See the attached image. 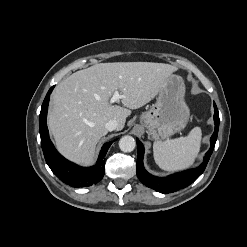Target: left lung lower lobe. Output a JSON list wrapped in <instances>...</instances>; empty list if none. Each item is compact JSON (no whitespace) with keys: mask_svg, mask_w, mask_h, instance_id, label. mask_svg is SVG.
<instances>
[{"mask_svg":"<svg viewBox=\"0 0 247 247\" xmlns=\"http://www.w3.org/2000/svg\"><path fill=\"white\" fill-rule=\"evenodd\" d=\"M214 111H215L214 114L215 130L210 139L211 147L205 154L203 163L196 169H191L181 173L173 174L166 178H160L149 174L145 170L143 165L144 146L137 139L138 158L136 164V172L139 180L147 187L153 188L154 190L161 193L174 192L194 182L205 170L217 140L218 128H219V113L215 103H214Z\"/></svg>","mask_w":247,"mask_h":247,"instance_id":"1","label":"left lung lower lobe"}]
</instances>
